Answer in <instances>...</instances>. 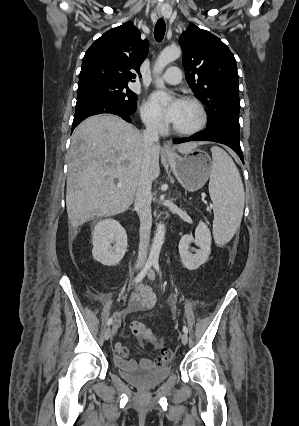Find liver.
Listing matches in <instances>:
<instances>
[{
    "label": "liver",
    "mask_w": 299,
    "mask_h": 426,
    "mask_svg": "<svg viewBox=\"0 0 299 426\" xmlns=\"http://www.w3.org/2000/svg\"><path fill=\"white\" fill-rule=\"evenodd\" d=\"M203 143H183L188 153ZM146 149L143 135L115 115H96L74 131L68 157L66 207L69 224L78 228L94 217L126 211L134 201ZM160 146L151 150L150 178L160 174ZM115 179H118L117 187Z\"/></svg>",
    "instance_id": "6515ba94"
}]
</instances>
